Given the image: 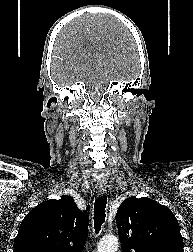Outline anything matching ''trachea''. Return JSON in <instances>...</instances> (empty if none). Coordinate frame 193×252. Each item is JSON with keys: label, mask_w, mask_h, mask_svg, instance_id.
Instances as JSON below:
<instances>
[{"label": "trachea", "mask_w": 193, "mask_h": 252, "mask_svg": "<svg viewBox=\"0 0 193 252\" xmlns=\"http://www.w3.org/2000/svg\"><path fill=\"white\" fill-rule=\"evenodd\" d=\"M106 204H107V197L103 195L98 197L94 203V229L95 233H99L101 230V226L105 221L106 213Z\"/></svg>", "instance_id": "3493384b"}]
</instances>
